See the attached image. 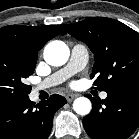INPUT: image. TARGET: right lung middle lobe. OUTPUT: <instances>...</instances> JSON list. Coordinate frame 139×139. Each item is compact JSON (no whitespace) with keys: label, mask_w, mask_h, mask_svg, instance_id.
I'll use <instances>...</instances> for the list:
<instances>
[{"label":"right lung middle lobe","mask_w":139,"mask_h":139,"mask_svg":"<svg viewBox=\"0 0 139 139\" xmlns=\"http://www.w3.org/2000/svg\"><path fill=\"white\" fill-rule=\"evenodd\" d=\"M36 61L18 49L0 46V99L28 97L31 86L25 81L33 74Z\"/></svg>","instance_id":"1"}]
</instances>
